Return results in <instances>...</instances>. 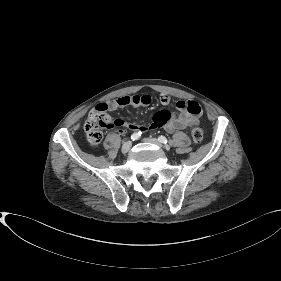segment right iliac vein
Masks as SVG:
<instances>
[{"mask_svg":"<svg viewBox=\"0 0 281 281\" xmlns=\"http://www.w3.org/2000/svg\"><path fill=\"white\" fill-rule=\"evenodd\" d=\"M131 146H132V142H131V141L125 142V143L122 145V148H121L122 153L125 154V153L129 152Z\"/></svg>","mask_w":281,"mask_h":281,"instance_id":"63e3f726","label":"right iliac vein"}]
</instances>
